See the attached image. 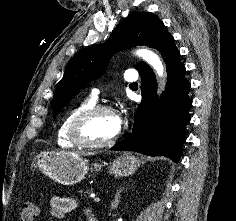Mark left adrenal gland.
<instances>
[{
  "instance_id": "obj_1",
  "label": "left adrenal gland",
  "mask_w": 236,
  "mask_h": 221,
  "mask_svg": "<svg viewBox=\"0 0 236 221\" xmlns=\"http://www.w3.org/2000/svg\"><path fill=\"white\" fill-rule=\"evenodd\" d=\"M122 190H123V188H121V187L116 190L114 200L111 202V209L112 210L113 209L115 210L118 207L119 200H120V197H121L120 193L122 192Z\"/></svg>"
}]
</instances>
